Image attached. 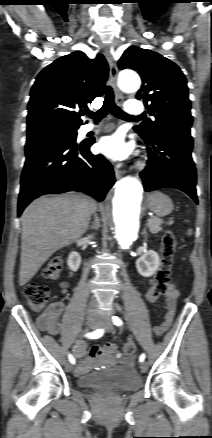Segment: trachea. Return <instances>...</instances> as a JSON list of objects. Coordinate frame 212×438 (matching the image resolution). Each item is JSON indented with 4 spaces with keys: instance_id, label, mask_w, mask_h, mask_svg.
I'll return each mask as SVG.
<instances>
[{
    "instance_id": "3493384b",
    "label": "trachea",
    "mask_w": 212,
    "mask_h": 438,
    "mask_svg": "<svg viewBox=\"0 0 212 438\" xmlns=\"http://www.w3.org/2000/svg\"><path fill=\"white\" fill-rule=\"evenodd\" d=\"M108 113L113 114L114 116L125 119V118H133L140 116H131L124 111H122L114 102V93L110 86L106 88V95L103 102V106L97 112H86V115L92 118L94 121H100L104 118Z\"/></svg>"
}]
</instances>
